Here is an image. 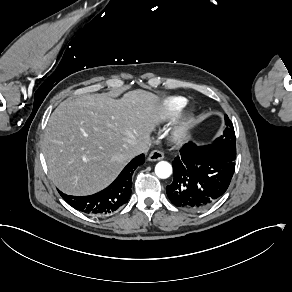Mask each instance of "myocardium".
<instances>
[{
    "mask_svg": "<svg viewBox=\"0 0 292 292\" xmlns=\"http://www.w3.org/2000/svg\"><path fill=\"white\" fill-rule=\"evenodd\" d=\"M194 123L193 115L191 113L183 114L175 122L174 127L171 132V137L176 142L183 141Z\"/></svg>",
    "mask_w": 292,
    "mask_h": 292,
    "instance_id": "obj_1",
    "label": "myocardium"
}]
</instances>
